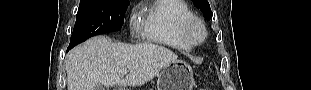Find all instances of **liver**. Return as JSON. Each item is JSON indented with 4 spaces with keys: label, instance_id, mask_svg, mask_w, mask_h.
I'll return each mask as SVG.
<instances>
[{
    "label": "liver",
    "instance_id": "6515ba94",
    "mask_svg": "<svg viewBox=\"0 0 311 90\" xmlns=\"http://www.w3.org/2000/svg\"><path fill=\"white\" fill-rule=\"evenodd\" d=\"M177 60L170 49L152 43L136 45L93 37L66 57L68 90H95L98 85L141 86ZM129 74L123 78L121 70Z\"/></svg>",
    "mask_w": 311,
    "mask_h": 90
}]
</instances>
